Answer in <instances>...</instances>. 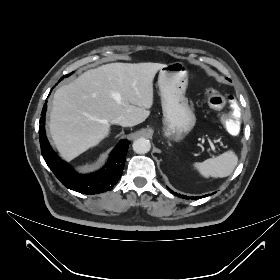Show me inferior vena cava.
Segmentation results:
<instances>
[{"label": "inferior vena cava", "instance_id": "1", "mask_svg": "<svg viewBox=\"0 0 280 280\" xmlns=\"http://www.w3.org/2000/svg\"><path fill=\"white\" fill-rule=\"evenodd\" d=\"M112 123H113V124L121 125V126H123V127H128V126L130 125L128 119H126V118L123 117V116H120V117L115 118L114 120H112Z\"/></svg>", "mask_w": 280, "mask_h": 280}]
</instances>
